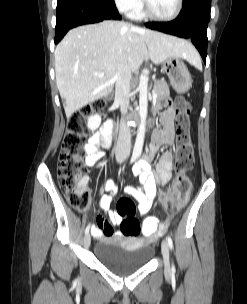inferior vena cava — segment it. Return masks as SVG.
I'll list each match as a JSON object with an SVG mask.
<instances>
[{
  "mask_svg": "<svg viewBox=\"0 0 247 304\" xmlns=\"http://www.w3.org/2000/svg\"><path fill=\"white\" fill-rule=\"evenodd\" d=\"M115 100L120 104L121 113H127L130 98V81L131 70L126 61V56L123 54L118 65L115 76ZM131 133L130 128L126 125L125 120L120 122L119 137L116 145L115 155L118 162L126 160L130 154L131 148Z\"/></svg>",
  "mask_w": 247,
  "mask_h": 304,
  "instance_id": "602c4592",
  "label": "inferior vena cava"
}]
</instances>
